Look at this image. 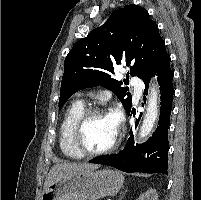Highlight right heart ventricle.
I'll use <instances>...</instances> for the list:
<instances>
[{
    "instance_id": "1",
    "label": "right heart ventricle",
    "mask_w": 201,
    "mask_h": 200,
    "mask_svg": "<svg viewBox=\"0 0 201 200\" xmlns=\"http://www.w3.org/2000/svg\"><path fill=\"white\" fill-rule=\"evenodd\" d=\"M85 109L81 100H76L67 108L59 131V145L62 153L70 159H81L83 156L74 148L71 140L73 125Z\"/></svg>"
}]
</instances>
